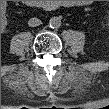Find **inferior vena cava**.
<instances>
[{
  "label": "inferior vena cava",
  "instance_id": "602c4592",
  "mask_svg": "<svg viewBox=\"0 0 109 109\" xmlns=\"http://www.w3.org/2000/svg\"><path fill=\"white\" fill-rule=\"evenodd\" d=\"M40 24H41V20L35 17L29 19L28 21V25L31 27H36V26H39Z\"/></svg>",
  "mask_w": 109,
  "mask_h": 109
}]
</instances>
